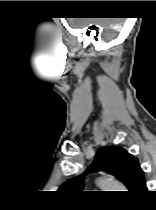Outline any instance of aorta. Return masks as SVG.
<instances>
[{"label":"aorta","instance_id":"762f6f07","mask_svg":"<svg viewBox=\"0 0 156 210\" xmlns=\"http://www.w3.org/2000/svg\"><path fill=\"white\" fill-rule=\"evenodd\" d=\"M98 184L102 189H105V191H120L124 189L118 181L109 177L100 178Z\"/></svg>","mask_w":156,"mask_h":210}]
</instances>
